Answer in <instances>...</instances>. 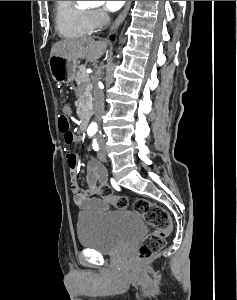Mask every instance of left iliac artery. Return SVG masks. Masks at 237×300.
I'll list each match as a JSON object with an SVG mask.
<instances>
[{
	"instance_id": "left-iliac-artery-1",
	"label": "left iliac artery",
	"mask_w": 237,
	"mask_h": 300,
	"mask_svg": "<svg viewBox=\"0 0 237 300\" xmlns=\"http://www.w3.org/2000/svg\"><path fill=\"white\" fill-rule=\"evenodd\" d=\"M93 149L95 150V151H98L99 150V147H98V145H97V143H96V140L94 139L93 140Z\"/></svg>"
}]
</instances>
